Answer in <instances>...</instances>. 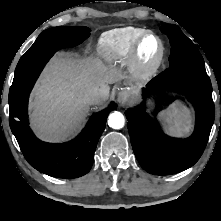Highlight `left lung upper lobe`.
<instances>
[{"instance_id": "left-lung-upper-lobe-1", "label": "left lung upper lobe", "mask_w": 221, "mask_h": 221, "mask_svg": "<svg viewBox=\"0 0 221 221\" xmlns=\"http://www.w3.org/2000/svg\"><path fill=\"white\" fill-rule=\"evenodd\" d=\"M170 39L169 68H188L206 73L204 60L195 44L176 25L160 29Z\"/></svg>"}]
</instances>
